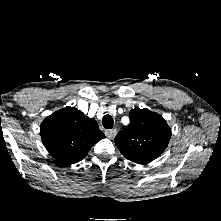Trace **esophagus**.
I'll list each match as a JSON object with an SVG mask.
<instances>
[{"label":"esophagus","instance_id":"obj_1","mask_svg":"<svg viewBox=\"0 0 221 221\" xmlns=\"http://www.w3.org/2000/svg\"><path fill=\"white\" fill-rule=\"evenodd\" d=\"M117 134V130L116 129H111V130H108L106 131V136L109 138V139H113Z\"/></svg>","mask_w":221,"mask_h":221}]
</instances>
